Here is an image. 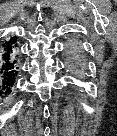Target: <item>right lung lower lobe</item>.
I'll return each instance as SVG.
<instances>
[{
    "instance_id": "1",
    "label": "right lung lower lobe",
    "mask_w": 117,
    "mask_h": 136,
    "mask_svg": "<svg viewBox=\"0 0 117 136\" xmlns=\"http://www.w3.org/2000/svg\"><path fill=\"white\" fill-rule=\"evenodd\" d=\"M0 100H4L15 87L19 75V57L16 37H7L0 45Z\"/></svg>"
}]
</instances>
